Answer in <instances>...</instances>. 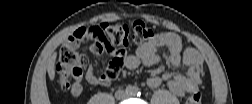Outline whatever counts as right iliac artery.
<instances>
[{
  "mask_svg": "<svg viewBox=\"0 0 252 104\" xmlns=\"http://www.w3.org/2000/svg\"><path fill=\"white\" fill-rule=\"evenodd\" d=\"M126 92L127 94H132L133 93L132 87H127Z\"/></svg>",
  "mask_w": 252,
  "mask_h": 104,
  "instance_id": "right-iliac-artery-1",
  "label": "right iliac artery"
}]
</instances>
